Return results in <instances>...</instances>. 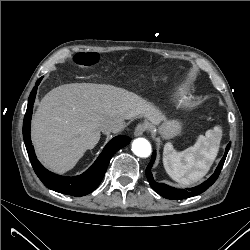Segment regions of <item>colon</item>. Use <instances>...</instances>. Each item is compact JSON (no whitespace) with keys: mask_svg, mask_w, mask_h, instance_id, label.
Wrapping results in <instances>:
<instances>
[{"mask_svg":"<svg viewBox=\"0 0 250 250\" xmlns=\"http://www.w3.org/2000/svg\"><path fill=\"white\" fill-rule=\"evenodd\" d=\"M74 63L81 69H90L99 61V56L95 53H78L74 56Z\"/></svg>","mask_w":250,"mask_h":250,"instance_id":"obj_1","label":"colon"}]
</instances>
